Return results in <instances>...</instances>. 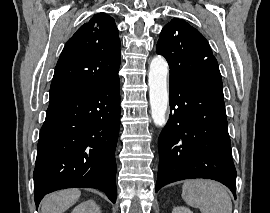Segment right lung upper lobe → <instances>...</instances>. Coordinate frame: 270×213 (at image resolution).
Wrapping results in <instances>:
<instances>
[{"label":"right lung upper lobe","mask_w":270,"mask_h":213,"mask_svg":"<svg viewBox=\"0 0 270 213\" xmlns=\"http://www.w3.org/2000/svg\"><path fill=\"white\" fill-rule=\"evenodd\" d=\"M120 39L115 21L98 13L68 40L50 87V100L102 87L119 78Z\"/></svg>","instance_id":"right-lung-upper-lobe-1"}]
</instances>
